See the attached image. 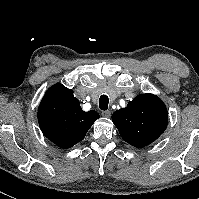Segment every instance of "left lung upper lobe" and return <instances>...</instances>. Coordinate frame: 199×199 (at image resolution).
Returning a JSON list of instances; mask_svg holds the SVG:
<instances>
[{"instance_id": "obj_1", "label": "left lung upper lobe", "mask_w": 199, "mask_h": 199, "mask_svg": "<svg viewBox=\"0 0 199 199\" xmlns=\"http://www.w3.org/2000/svg\"><path fill=\"white\" fill-rule=\"evenodd\" d=\"M112 121L124 140L148 145L166 129L168 111L156 95L140 94L127 107L115 111Z\"/></svg>"}]
</instances>
